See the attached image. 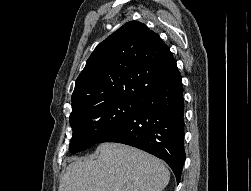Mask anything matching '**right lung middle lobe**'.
I'll list each match as a JSON object with an SVG mask.
<instances>
[{
  "label": "right lung middle lobe",
  "mask_w": 251,
  "mask_h": 191,
  "mask_svg": "<svg viewBox=\"0 0 251 191\" xmlns=\"http://www.w3.org/2000/svg\"><path fill=\"white\" fill-rule=\"evenodd\" d=\"M137 108L138 102L115 100L72 109L70 125L73 129V136L69 152L77 153L95 145Z\"/></svg>",
  "instance_id": "right-lung-middle-lobe-1"
}]
</instances>
